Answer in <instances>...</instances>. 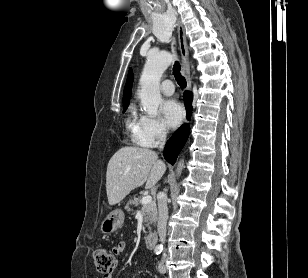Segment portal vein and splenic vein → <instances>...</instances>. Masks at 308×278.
<instances>
[{
    "label": "portal vein and splenic vein",
    "mask_w": 308,
    "mask_h": 278,
    "mask_svg": "<svg viewBox=\"0 0 308 278\" xmlns=\"http://www.w3.org/2000/svg\"><path fill=\"white\" fill-rule=\"evenodd\" d=\"M151 201H152V197L150 195H145L141 199V204L145 205V204L151 203Z\"/></svg>",
    "instance_id": "18ae733b"
}]
</instances>
